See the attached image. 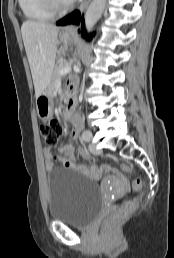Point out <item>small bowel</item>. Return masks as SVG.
<instances>
[{
  "label": "small bowel",
  "instance_id": "c3829d8e",
  "mask_svg": "<svg viewBox=\"0 0 174 258\" xmlns=\"http://www.w3.org/2000/svg\"><path fill=\"white\" fill-rule=\"evenodd\" d=\"M83 124L79 117L73 120V131L72 136L76 137L78 132L82 129ZM45 158V168L46 171L51 172L54 169L55 162H61L64 167L87 172V179H99L100 176H104L105 172H113V167H84L75 162V151L72 145H64L59 149V154H54L49 147L44 148L43 151ZM79 154L82 156V162H91V157L83 148H79ZM87 165L86 163L84 164ZM116 179L120 180V185L122 189H129V179H123V174H116Z\"/></svg>",
  "mask_w": 174,
  "mask_h": 258
}]
</instances>
